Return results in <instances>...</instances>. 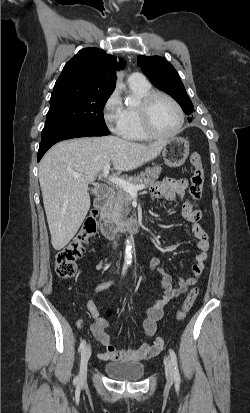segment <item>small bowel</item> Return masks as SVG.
I'll return each mask as SVG.
<instances>
[{"instance_id": "1", "label": "small bowel", "mask_w": 250, "mask_h": 413, "mask_svg": "<svg viewBox=\"0 0 250 413\" xmlns=\"http://www.w3.org/2000/svg\"><path fill=\"white\" fill-rule=\"evenodd\" d=\"M188 182L186 179H174L171 177L165 178L163 181L156 183L151 188L153 198H163L168 201L177 200L179 197H184ZM182 216L191 223V231L196 238L195 246L199 252L194 257V262L191 266L192 275L186 278H180L177 285L172 282V277L161 267L159 255H155L149 262V269L158 272L161 278V286L163 293L155 303L146 311V316L142 321V326L146 336L152 337L157 328V323L163 317L164 307L173 299L184 294L189 287L195 285L203 272L204 262L207 259L210 249V241L208 233L199 225V220L202 218V212L194 208L190 201H186L182 208ZM114 281L102 280L96 287V292H101L111 286ZM87 308L95 320L92 326V332L95 338L104 347V351L99 353V358L110 361H139L149 359L157 355L161 350L154 347L153 344L143 343L134 349H117L110 336L104 332V329L109 326V322L100 316L99 311L90 299L87 302ZM82 325V321L78 322V326Z\"/></svg>"}]
</instances>
